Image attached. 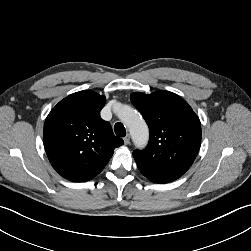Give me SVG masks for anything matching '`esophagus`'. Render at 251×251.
<instances>
[{"mask_svg":"<svg viewBox=\"0 0 251 251\" xmlns=\"http://www.w3.org/2000/svg\"><path fill=\"white\" fill-rule=\"evenodd\" d=\"M124 143L125 145H128L130 143V135L127 134L125 137H124Z\"/></svg>","mask_w":251,"mask_h":251,"instance_id":"esophagus-1","label":"esophagus"}]
</instances>
